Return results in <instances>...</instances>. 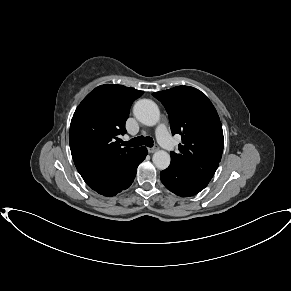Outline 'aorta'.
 <instances>
[{
    "label": "aorta",
    "mask_w": 291,
    "mask_h": 291,
    "mask_svg": "<svg viewBox=\"0 0 291 291\" xmlns=\"http://www.w3.org/2000/svg\"><path fill=\"white\" fill-rule=\"evenodd\" d=\"M133 113L136 119L144 125L154 126L160 120V111L157 104L150 99H141L133 107ZM170 155L164 150H158L153 154L152 161L154 165L164 170L170 165Z\"/></svg>",
    "instance_id": "obj_1"
}]
</instances>
